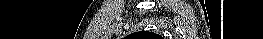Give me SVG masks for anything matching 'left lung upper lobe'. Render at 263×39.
Listing matches in <instances>:
<instances>
[{"label": "left lung upper lobe", "mask_w": 263, "mask_h": 39, "mask_svg": "<svg viewBox=\"0 0 263 39\" xmlns=\"http://www.w3.org/2000/svg\"><path fill=\"white\" fill-rule=\"evenodd\" d=\"M126 39H163L161 35L153 32L140 31L126 36Z\"/></svg>", "instance_id": "left-lung-upper-lobe-1"}]
</instances>
